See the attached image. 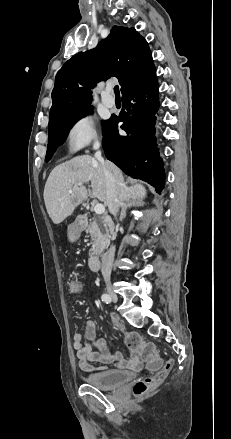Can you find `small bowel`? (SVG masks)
I'll list each match as a JSON object with an SVG mask.
<instances>
[{"label":"small bowel","mask_w":231,"mask_h":439,"mask_svg":"<svg viewBox=\"0 0 231 439\" xmlns=\"http://www.w3.org/2000/svg\"><path fill=\"white\" fill-rule=\"evenodd\" d=\"M111 322L125 336L128 335L124 325L117 317L112 316ZM73 346L77 352L79 367L86 372L105 369V366L94 367L92 362L104 365L115 364L122 369L139 370L142 367V358L136 350H132L129 360H125L120 352L111 353L104 340L99 337L97 324L94 321L86 322L84 335L74 334Z\"/></svg>","instance_id":"small-bowel-1"}]
</instances>
